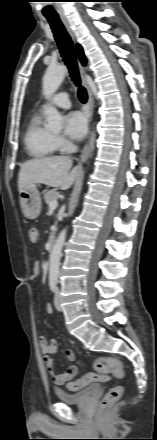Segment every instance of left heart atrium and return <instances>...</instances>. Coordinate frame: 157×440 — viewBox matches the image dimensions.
I'll use <instances>...</instances> for the list:
<instances>
[{"instance_id": "left-heart-atrium-1", "label": "left heart atrium", "mask_w": 157, "mask_h": 440, "mask_svg": "<svg viewBox=\"0 0 157 440\" xmlns=\"http://www.w3.org/2000/svg\"><path fill=\"white\" fill-rule=\"evenodd\" d=\"M64 133L72 140H81L87 133V120L80 113H70L64 119Z\"/></svg>"}]
</instances>
